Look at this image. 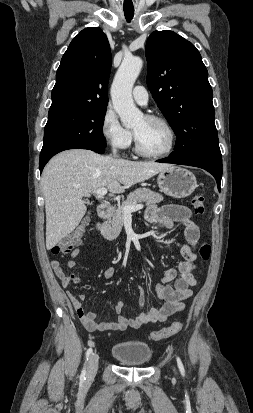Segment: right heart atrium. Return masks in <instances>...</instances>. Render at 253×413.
Wrapping results in <instances>:
<instances>
[{"label":"right heart atrium","mask_w":253,"mask_h":413,"mask_svg":"<svg viewBox=\"0 0 253 413\" xmlns=\"http://www.w3.org/2000/svg\"><path fill=\"white\" fill-rule=\"evenodd\" d=\"M101 133L105 141L113 148L125 150L132 143V133L123 127L116 114L107 109L101 119Z\"/></svg>","instance_id":"obj_1"}]
</instances>
